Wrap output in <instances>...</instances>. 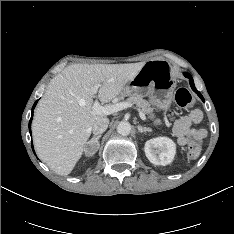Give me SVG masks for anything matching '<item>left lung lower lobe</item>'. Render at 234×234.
<instances>
[{"mask_svg": "<svg viewBox=\"0 0 234 234\" xmlns=\"http://www.w3.org/2000/svg\"><path fill=\"white\" fill-rule=\"evenodd\" d=\"M184 75H185L187 78H189V82H190L191 88H192V89L198 94V96L203 100L202 95L200 94V92H198V91L196 90V88H195V86H194V82H193V79H192L191 75L188 74V73H184Z\"/></svg>", "mask_w": 234, "mask_h": 234, "instance_id": "0a47b994", "label": "left lung lower lobe"}]
</instances>
